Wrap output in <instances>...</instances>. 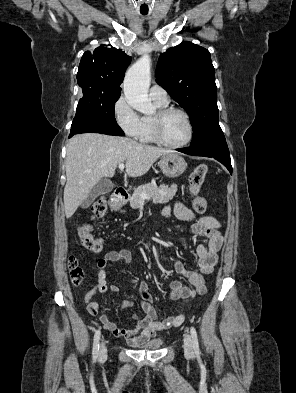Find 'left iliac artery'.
Wrapping results in <instances>:
<instances>
[{"mask_svg": "<svg viewBox=\"0 0 296 393\" xmlns=\"http://www.w3.org/2000/svg\"><path fill=\"white\" fill-rule=\"evenodd\" d=\"M191 337H192V342H193V348L195 353L198 355L199 354V343H198V337H197V332L194 327H191Z\"/></svg>", "mask_w": 296, "mask_h": 393, "instance_id": "44dca946", "label": "left iliac artery"}]
</instances>
